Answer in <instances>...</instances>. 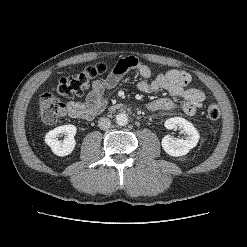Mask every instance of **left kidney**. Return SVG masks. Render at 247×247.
<instances>
[{"instance_id":"1","label":"left kidney","mask_w":247,"mask_h":247,"mask_svg":"<svg viewBox=\"0 0 247 247\" xmlns=\"http://www.w3.org/2000/svg\"><path fill=\"white\" fill-rule=\"evenodd\" d=\"M167 129H177L178 127L187 135L185 139L173 138L166 135L162 139V148L170 156L179 157L186 155L194 148L199 141V133L192 123L181 117H173L165 121Z\"/></svg>"}]
</instances>
